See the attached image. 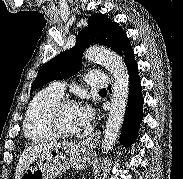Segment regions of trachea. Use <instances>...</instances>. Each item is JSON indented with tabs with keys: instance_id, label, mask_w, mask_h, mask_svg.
<instances>
[{
	"instance_id": "1",
	"label": "trachea",
	"mask_w": 183,
	"mask_h": 179,
	"mask_svg": "<svg viewBox=\"0 0 183 179\" xmlns=\"http://www.w3.org/2000/svg\"><path fill=\"white\" fill-rule=\"evenodd\" d=\"M100 91H106V88L101 89Z\"/></svg>"
}]
</instances>
